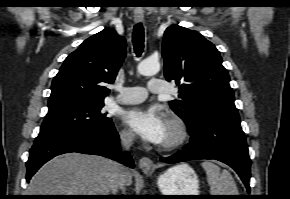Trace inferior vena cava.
Masks as SVG:
<instances>
[{"mask_svg":"<svg viewBox=\"0 0 290 199\" xmlns=\"http://www.w3.org/2000/svg\"><path fill=\"white\" fill-rule=\"evenodd\" d=\"M133 139H134L133 132L131 131L122 132L120 134V142H121L122 148L124 150H129L133 144ZM124 171H125V168L122 165L116 163V171L113 175L112 187H111L113 195H116V192L118 191V189L123 188Z\"/></svg>","mask_w":290,"mask_h":199,"instance_id":"inferior-vena-cava-1","label":"inferior vena cava"}]
</instances>
